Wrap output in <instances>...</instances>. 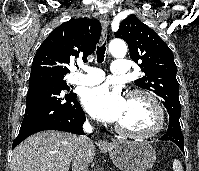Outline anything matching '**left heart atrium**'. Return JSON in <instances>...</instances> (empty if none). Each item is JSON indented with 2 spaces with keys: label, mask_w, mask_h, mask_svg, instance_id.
<instances>
[{
  "label": "left heart atrium",
  "mask_w": 199,
  "mask_h": 171,
  "mask_svg": "<svg viewBox=\"0 0 199 171\" xmlns=\"http://www.w3.org/2000/svg\"><path fill=\"white\" fill-rule=\"evenodd\" d=\"M81 99L92 116L105 122H118L126 107V99L121 91L107 84L86 89Z\"/></svg>",
  "instance_id": "obj_1"
}]
</instances>
